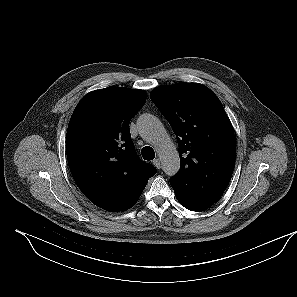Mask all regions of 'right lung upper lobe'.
I'll use <instances>...</instances> for the list:
<instances>
[{"mask_svg":"<svg viewBox=\"0 0 297 297\" xmlns=\"http://www.w3.org/2000/svg\"><path fill=\"white\" fill-rule=\"evenodd\" d=\"M145 101L144 90H95L80 100L69 122L66 153L71 174L83 194L109 212L131 208L157 172L137 156L129 130Z\"/></svg>","mask_w":297,"mask_h":297,"instance_id":"obj_1","label":"right lung upper lobe"}]
</instances>
